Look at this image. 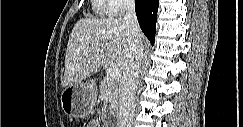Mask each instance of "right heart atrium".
Returning a JSON list of instances; mask_svg holds the SVG:
<instances>
[{
    "mask_svg": "<svg viewBox=\"0 0 243 127\" xmlns=\"http://www.w3.org/2000/svg\"><path fill=\"white\" fill-rule=\"evenodd\" d=\"M110 4L109 13L113 16L122 15L133 7L132 0H108Z\"/></svg>",
    "mask_w": 243,
    "mask_h": 127,
    "instance_id": "1",
    "label": "right heart atrium"
}]
</instances>
